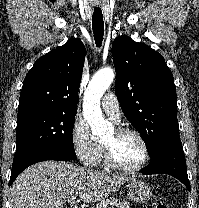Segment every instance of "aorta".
I'll return each mask as SVG.
<instances>
[{"mask_svg":"<svg viewBox=\"0 0 199 208\" xmlns=\"http://www.w3.org/2000/svg\"><path fill=\"white\" fill-rule=\"evenodd\" d=\"M114 70L110 67L99 70L89 82L83 99V115L90 125L92 134L102 136L111 129L100 108V101L114 79Z\"/></svg>","mask_w":199,"mask_h":208,"instance_id":"1","label":"aorta"}]
</instances>
